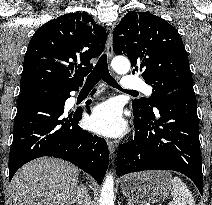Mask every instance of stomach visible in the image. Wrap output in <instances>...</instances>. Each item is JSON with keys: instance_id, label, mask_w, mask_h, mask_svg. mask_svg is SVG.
<instances>
[{"instance_id": "1", "label": "stomach", "mask_w": 212, "mask_h": 205, "mask_svg": "<svg viewBox=\"0 0 212 205\" xmlns=\"http://www.w3.org/2000/svg\"><path fill=\"white\" fill-rule=\"evenodd\" d=\"M172 186L167 171H146L129 174L120 181L123 194L134 203H157L165 200Z\"/></svg>"}]
</instances>
